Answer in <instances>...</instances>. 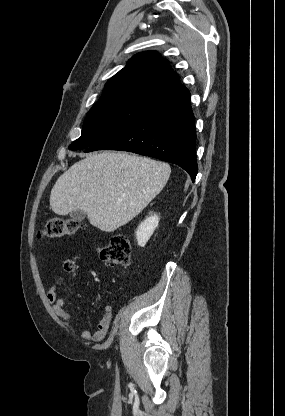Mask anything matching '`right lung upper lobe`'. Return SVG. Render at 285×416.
Segmentation results:
<instances>
[{
    "instance_id": "cb5924a9",
    "label": "right lung upper lobe",
    "mask_w": 285,
    "mask_h": 416,
    "mask_svg": "<svg viewBox=\"0 0 285 416\" xmlns=\"http://www.w3.org/2000/svg\"><path fill=\"white\" fill-rule=\"evenodd\" d=\"M105 87L98 102L133 95L166 108L190 99L188 89L180 83L169 61L155 51L134 55Z\"/></svg>"
}]
</instances>
